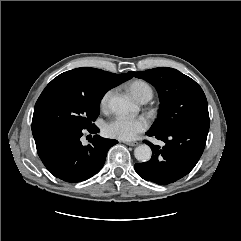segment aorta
<instances>
[{
  "label": "aorta",
  "mask_w": 241,
  "mask_h": 241,
  "mask_svg": "<svg viewBox=\"0 0 241 241\" xmlns=\"http://www.w3.org/2000/svg\"><path fill=\"white\" fill-rule=\"evenodd\" d=\"M110 109L118 115H127L135 111V106L124 97H113L109 102ZM152 155L151 148L142 144L135 148L134 156L140 162H147L150 160Z\"/></svg>",
  "instance_id": "aorta-1"
}]
</instances>
